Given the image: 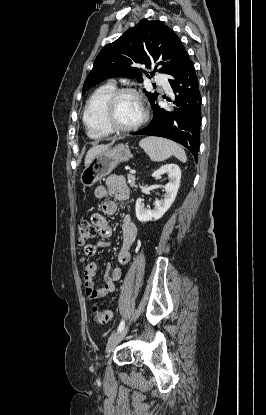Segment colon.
<instances>
[{
	"label": "colon",
	"mask_w": 266,
	"mask_h": 415,
	"mask_svg": "<svg viewBox=\"0 0 266 415\" xmlns=\"http://www.w3.org/2000/svg\"><path fill=\"white\" fill-rule=\"evenodd\" d=\"M96 227L93 223L86 220L81 221L78 225L77 242L80 245H86L96 234ZM91 315L93 319L100 324L107 323L111 318V313L97 305L92 306Z\"/></svg>",
	"instance_id": "5ec220e1"
}]
</instances>
